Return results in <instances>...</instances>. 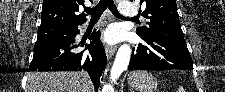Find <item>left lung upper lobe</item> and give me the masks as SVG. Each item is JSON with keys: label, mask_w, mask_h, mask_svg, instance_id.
Instances as JSON below:
<instances>
[{"label": "left lung upper lobe", "mask_w": 225, "mask_h": 92, "mask_svg": "<svg viewBox=\"0 0 225 92\" xmlns=\"http://www.w3.org/2000/svg\"><path fill=\"white\" fill-rule=\"evenodd\" d=\"M141 6L146 7L141 15L149 20L147 27L137 28L141 38H166L185 43L175 0H140Z\"/></svg>", "instance_id": "1"}]
</instances>
